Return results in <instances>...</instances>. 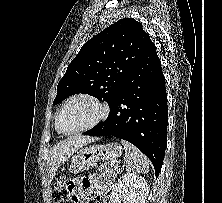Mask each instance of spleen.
<instances>
[{
	"label": "spleen",
	"mask_w": 222,
	"mask_h": 203,
	"mask_svg": "<svg viewBox=\"0 0 222 203\" xmlns=\"http://www.w3.org/2000/svg\"><path fill=\"white\" fill-rule=\"evenodd\" d=\"M125 149V164L128 173L146 174L149 170V161L147 157L131 143L121 140Z\"/></svg>",
	"instance_id": "spleen-1"
}]
</instances>
